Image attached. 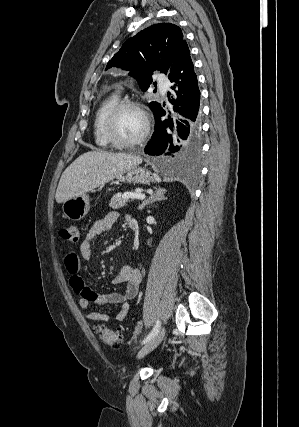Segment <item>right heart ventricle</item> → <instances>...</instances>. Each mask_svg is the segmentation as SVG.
I'll return each mask as SVG.
<instances>
[{
    "mask_svg": "<svg viewBox=\"0 0 299 427\" xmlns=\"http://www.w3.org/2000/svg\"><path fill=\"white\" fill-rule=\"evenodd\" d=\"M119 102L118 93H112L105 97L98 105L93 119V138L97 147L111 149L113 145L107 140L104 133V122L111 108Z\"/></svg>",
    "mask_w": 299,
    "mask_h": 427,
    "instance_id": "obj_1",
    "label": "right heart ventricle"
}]
</instances>
